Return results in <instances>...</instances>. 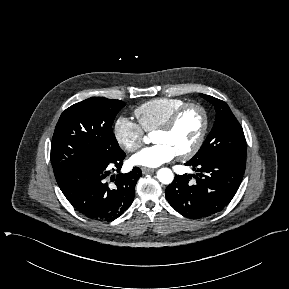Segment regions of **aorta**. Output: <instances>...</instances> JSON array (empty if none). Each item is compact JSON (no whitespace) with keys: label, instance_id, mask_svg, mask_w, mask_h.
I'll return each mask as SVG.
<instances>
[{"label":"aorta","instance_id":"obj_1","mask_svg":"<svg viewBox=\"0 0 289 289\" xmlns=\"http://www.w3.org/2000/svg\"><path fill=\"white\" fill-rule=\"evenodd\" d=\"M157 179L162 184H170L174 179V174L171 169L169 168H161L157 172Z\"/></svg>","mask_w":289,"mask_h":289}]
</instances>
